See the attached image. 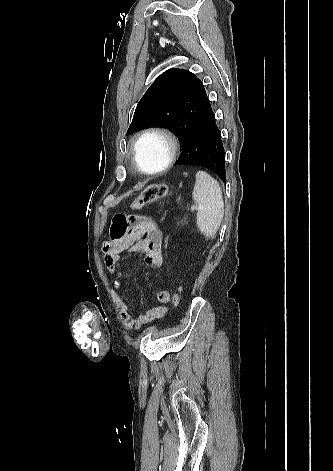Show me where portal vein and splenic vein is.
Returning <instances> with one entry per match:
<instances>
[{"instance_id": "portal-vein-and-splenic-vein-1", "label": "portal vein and splenic vein", "mask_w": 333, "mask_h": 471, "mask_svg": "<svg viewBox=\"0 0 333 471\" xmlns=\"http://www.w3.org/2000/svg\"><path fill=\"white\" fill-rule=\"evenodd\" d=\"M196 208H197V207H196V206H194V205H193V206H191V209H192V210H194V209H196Z\"/></svg>"}]
</instances>
